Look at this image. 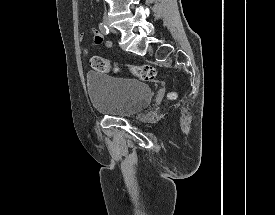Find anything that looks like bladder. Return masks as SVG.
<instances>
[{
    "label": "bladder",
    "mask_w": 275,
    "mask_h": 215,
    "mask_svg": "<svg viewBox=\"0 0 275 215\" xmlns=\"http://www.w3.org/2000/svg\"><path fill=\"white\" fill-rule=\"evenodd\" d=\"M86 82L95 110L112 117L133 116L148 107L151 88L137 79L88 72Z\"/></svg>",
    "instance_id": "obj_1"
}]
</instances>
